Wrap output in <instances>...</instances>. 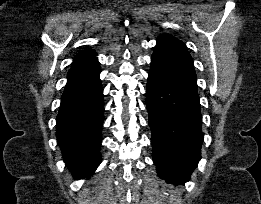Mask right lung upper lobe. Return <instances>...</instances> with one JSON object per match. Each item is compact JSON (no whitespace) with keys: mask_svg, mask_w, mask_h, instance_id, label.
<instances>
[{"mask_svg":"<svg viewBox=\"0 0 261 204\" xmlns=\"http://www.w3.org/2000/svg\"><path fill=\"white\" fill-rule=\"evenodd\" d=\"M95 58H96L95 50L86 49V50L81 51L80 53H78L75 56V59H74L72 65H77V64H80V63H84V62L93 60Z\"/></svg>","mask_w":261,"mask_h":204,"instance_id":"1","label":"right lung upper lobe"}]
</instances>
